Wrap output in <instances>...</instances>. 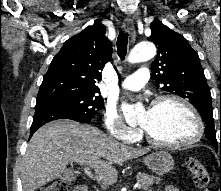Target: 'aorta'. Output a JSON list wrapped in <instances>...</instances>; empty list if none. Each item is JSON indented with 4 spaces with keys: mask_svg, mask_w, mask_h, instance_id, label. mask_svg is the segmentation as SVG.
<instances>
[{
    "mask_svg": "<svg viewBox=\"0 0 221 191\" xmlns=\"http://www.w3.org/2000/svg\"><path fill=\"white\" fill-rule=\"evenodd\" d=\"M156 55V47L151 42H141L130 52L128 61L138 63L152 59ZM124 117L128 123H132L142 111V107L123 103L121 106Z\"/></svg>",
    "mask_w": 221,
    "mask_h": 191,
    "instance_id": "762f6f07",
    "label": "aorta"
}]
</instances>
